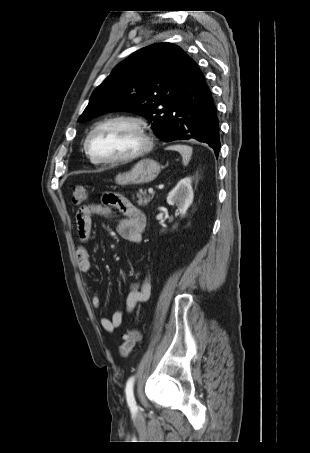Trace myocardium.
<instances>
[{"label": "myocardium", "instance_id": "f54148a6", "mask_svg": "<svg viewBox=\"0 0 310 453\" xmlns=\"http://www.w3.org/2000/svg\"><path fill=\"white\" fill-rule=\"evenodd\" d=\"M115 122H125L133 125L136 130L139 132L140 137L142 139V145L139 149H137L135 152L123 156V157H118V158H103L100 156H97L94 154V152L91 149V138L92 136L103 126H106L111 123ZM153 145L152 141V136L149 132V129L146 125L145 122H143L141 119L133 116H126V115H118V116H113L106 118L104 120H101L95 126L89 131V133L86 136L85 143H84V148L89 156V158L99 164H120V163H127L130 161H133L135 159H138L139 157L145 155L148 153Z\"/></svg>", "mask_w": 310, "mask_h": 453}]
</instances>
